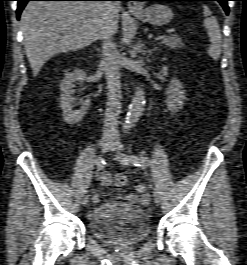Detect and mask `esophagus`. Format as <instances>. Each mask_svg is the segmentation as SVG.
Returning a JSON list of instances; mask_svg holds the SVG:
<instances>
[{
	"mask_svg": "<svg viewBox=\"0 0 247 265\" xmlns=\"http://www.w3.org/2000/svg\"><path fill=\"white\" fill-rule=\"evenodd\" d=\"M128 9L131 11V12H136V11H139L141 10V6L139 5V3L137 1H130L128 3Z\"/></svg>",
	"mask_w": 247,
	"mask_h": 265,
	"instance_id": "34e87169",
	"label": "esophagus"
}]
</instances>
